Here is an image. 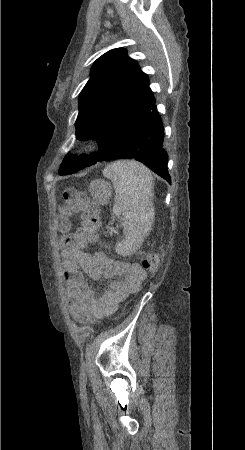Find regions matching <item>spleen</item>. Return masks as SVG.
<instances>
[{"label": "spleen", "instance_id": "spleen-1", "mask_svg": "<svg viewBox=\"0 0 245 450\" xmlns=\"http://www.w3.org/2000/svg\"><path fill=\"white\" fill-rule=\"evenodd\" d=\"M115 189L113 213L120 218L125 239L116 252L127 256L144 241L154 221L153 177L150 170L137 161H117L103 170Z\"/></svg>", "mask_w": 245, "mask_h": 450}]
</instances>
